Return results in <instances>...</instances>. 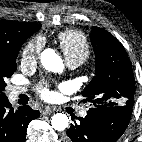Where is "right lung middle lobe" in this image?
Masks as SVG:
<instances>
[{
  "label": "right lung middle lobe",
  "instance_id": "obj_1",
  "mask_svg": "<svg viewBox=\"0 0 142 142\" xmlns=\"http://www.w3.org/2000/svg\"><path fill=\"white\" fill-rule=\"evenodd\" d=\"M26 39H22L0 49V100L7 98L5 80L12 76L17 69L16 58L21 45Z\"/></svg>",
  "mask_w": 142,
  "mask_h": 142
}]
</instances>
